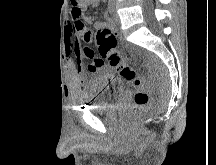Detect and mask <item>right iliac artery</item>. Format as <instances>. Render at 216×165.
Here are the masks:
<instances>
[{"label": "right iliac artery", "instance_id": "82829eb1", "mask_svg": "<svg viewBox=\"0 0 216 165\" xmlns=\"http://www.w3.org/2000/svg\"><path fill=\"white\" fill-rule=\"evenodd\" d=\"M109 13L111 14L113 12V5L112 0H109V7H108Z\"/></svg>", "mask_w": 216, "mask_h": 165}]
</instances>
